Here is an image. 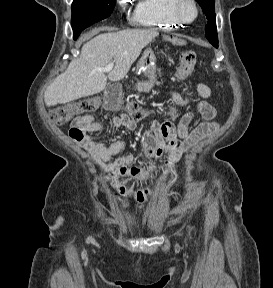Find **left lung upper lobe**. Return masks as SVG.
Here are the masks:
<instances>
[{
    "instance_id": "obj_1",
    "label": "left lung upper lobe",
    "mask_w": 273,
    "mask_h": 288,
    "mask_svg": "<svg viewBox=\"0 0 273 288\" xmlns=\"http://www.w3.org/2000/svg\"><path fill=\"white\" fill-rule=\"evenodd\" d=\"M205 13L208 23L205 27V36L215 47L218 46V37L215 22L214 0H197Z\"/></svg>"
}]
</instances>
